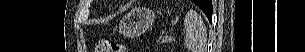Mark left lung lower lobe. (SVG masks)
Returning a JSON list of instances; mask_svg holds the SVG:
<instances>
[{
    "instance_id": "1",
    "label": "left lung lower lobe",
    "mask_w": 305,
    "mask_h": 52,
    "mask_svg": "<svg viewBox=\"0 0 305 52\" xmlns=\"http://www.w3.org/2000/svg\"><path fill=\"white\" fill-rule=\"evenodd\" d=\"M202 11L206 14L208 20L211 22L212 20V0H205V8H201Z\"/></svg>"
}]
</instances>
